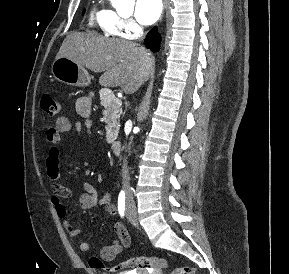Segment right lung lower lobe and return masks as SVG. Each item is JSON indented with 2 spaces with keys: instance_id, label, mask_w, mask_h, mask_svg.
<instances>
[{
  "instance_id": "1",
  "label": "right lung lower lobe",
  "mask_w": 289,
  "mask_h": 274,
  "mask_svg": "<svg viewBox=\"0 0 289 274\" xmlns=\"http://www.w3.org/2000/svg\"><path fill=\"white\" fill-rule=\"evenodd\" d=\"M158 39L159 34L157 33V29L154 27L152 28L145 38V45L147 48L151 50H156L158 48Z\"/></svg>"
}]
</instances>
